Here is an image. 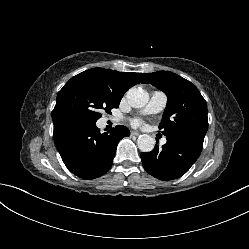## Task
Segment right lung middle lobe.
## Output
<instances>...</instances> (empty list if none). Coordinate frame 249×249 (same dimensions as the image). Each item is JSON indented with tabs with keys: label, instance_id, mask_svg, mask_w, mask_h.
<instances>
[{
	"label": "right lung middle lobe",
	"instance_id": "1",
	"mask_svg": "<svg viewBox=\"0 0 249 249\" xmlns=\"http://www.w3.org/2000/svg\"><path fill=\"white\" fill-rule=\"evenodd\" d=\"M120 101L91 78L76 75L59 91L54 110L69 111L96 122L102 116L101 111L111 113V109L117 108Z\"/></svg>",
	"mask_w": 249,
	"mask_h": 249
}]
</instances>
